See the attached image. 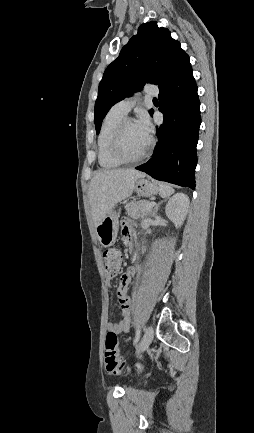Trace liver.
<instances>
[{"label": "liver", "mask_w": 254, "mask_h": 433, "mask_svg": "<svg viewBox=\"0 0 254 433\" xmlns=\"http://www.w3.org/2000/svg\"><path fill=\"white\" fill-rule=\"evenodd\" d=\"M144 176V173L134 169L95 172L89 186V202L95 227L118 202L132 194L137 179Z\"/></svg>", "instance_id": "liver-1"}]
</instances>
